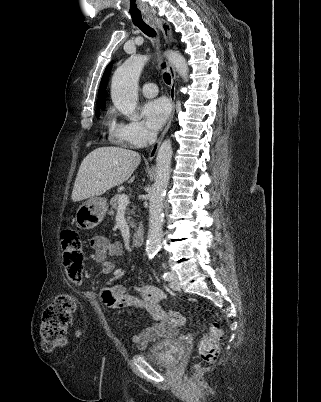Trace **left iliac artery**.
<instances>
[{
    "instance_id": "obj_1",
    "label": "left iliac artery",
    "mask_w": 321,
    "mask_h": 402,
    "mask_svg": "<svg viewBox=\"0 0 321 402\" xmlns=\"http://www.w3.org/2000/svg\"><path fill=\"white\" fill-rule=\"evenodd\" d=\"M162 278L166 281L171 280L172 279V275L170 272H166L162 275Z\"/></svg>"
}]
</instances>
